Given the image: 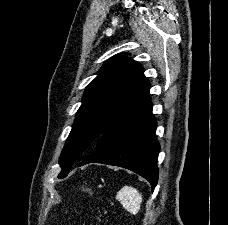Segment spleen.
Returning a JSON list of instances; mask_svg holds the SVG:
<instances>
[{"label": "spleen", "mask_w": 228, "mask_h": 225, "mask_svg": "<svg viewBox=\"0 0 228 225\" xmlns=\"http://www.w3.org/2000/svg\"><path fill=\"white\" fill-rule=\"evenodd\" d=\"M124 209L132 215H138L142 205V195L134 187H123L116 195Z\"/></svg>", "instance_id": "1"}]
</instances>
